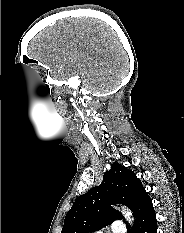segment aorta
Here are the masks:
<instances>
[{
	"mask_svg": "<svg viewBox=\"0 0 184 233\" xmlns=\"http://www.w3.org/2000/svg\"><path fill=\"white\" fill-rule=\"evenodd\" d=\"M122 212L129 220H132L131 219L132 214L130 211L124 209Z\"/></svg>",
	"mask_w": 184,
	"mask_h": 233,
	"instance_id": "aorta-1",
	"label": "aorta"
}]
</instances>
